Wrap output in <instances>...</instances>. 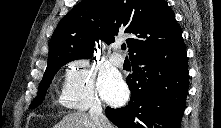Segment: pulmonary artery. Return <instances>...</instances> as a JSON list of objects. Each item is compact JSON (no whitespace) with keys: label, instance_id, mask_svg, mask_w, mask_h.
<instances>
[{"label":"pulmonary artery","instance_id":"1","mask_svg":"<svg viewBox=\"0 0 221 128\" xmlns=\"http://www.w3.org/2000/svg\"><path fill=\"white\" fill-rule=\"evenodd\" d=\"M116 48H117V51L111 54L110 61L116 67H122L124 64V58L119 53V46L118 45L116 46Z\"/></svg>","mask_w":221,"mask_h":128}]
</instances>
